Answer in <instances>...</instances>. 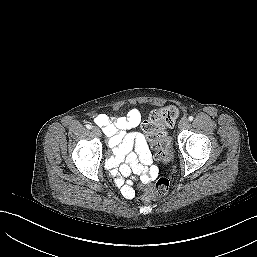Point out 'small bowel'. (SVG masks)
I'll return each mask as SVG.
<instances>
[{
    "label": "small bowel",
    "mask_w": 257,
    "mask_h": 257,
    "mask_svg": "<svg viewBox=\"0 0 257 257\" xmlns=\"http://www.w3.org/2000/svg\"><path fill=\"white\" fill-rule=\"evenodd\" d=\"M94 121L108 137L109 146L113 151L107 161L108 169L116 177V183L122 188L124 196L134 197V191L125 185V179L134 172L142 182H148L157 174L144 137L136 132H126L140 123L141 113L137 109H131L125 116L115 118L98 114ZM133 146L136 154L130 153Z\"/></svg>",
    "instance_id": "1"
}]
</instances>
